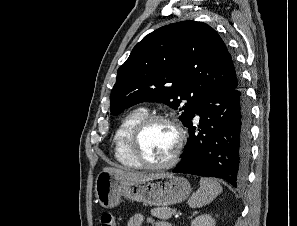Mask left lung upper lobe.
<instances>
[{
  "mask_svg": "<svg viewBox=\"0 0 297 226\" xmlns=\"http://www.w3.org/2000/svg\"><path fill=\"white\" fill-rule=\"evenodd\" d=\"M239 84L231 55L213 28L195 21L173 23L148 34L120 66L111 112L116 115L140 102L165 103L181 112L186 125L202 93Z\"/></svg>",
  "mask_w": 297,
  "mask_h": 226,
  "instance_id": "left-lung-upper-lobe-1",
  "label": "left lung upper lobe"
}]
</instances>
